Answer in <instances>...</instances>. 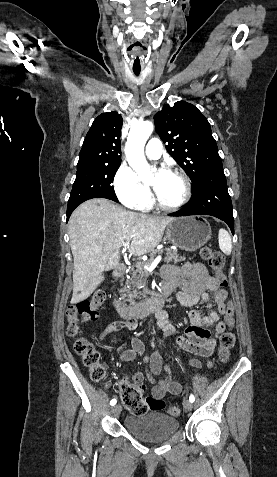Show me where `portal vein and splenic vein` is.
Here are the masks:
<instances>
[{"label":"portal vein and splenic vein","instance_id":"obj_1","mask_svg":"<svg viewBox=\"0 0 277 477\" xmlns=\"http://www.w3.org/2000/svg\"><path fill=\"white\" fill-rule=\"evenodd\" d=\"M129 245H130V241L128 240V241L123 243V248L124 249L129 248ZM161 259H162V256L158 255L151 264H149V265L144 264V269L147 270V271L154 270V268L158 265V263L161 261Z\"/></svg>","mask_w":277,"mask_h":477}]
</instances>
